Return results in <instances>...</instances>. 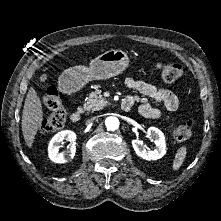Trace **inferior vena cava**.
<instances>
[{"instance_id": "inferior-vena-cava-1", "label": "inferior vena cava", "mask_w": 221, "mask_h": 221, "mask_svg": "<svg viewBox=\"0 0 221 221\" xmlns=\"http://www.w3.org/2000/svg\"><path fill=\"white\" fill-rule=\"evenodd\" d=\"M92 121V119H89L87 122L90 123Z\"/></svg>"}]
</instances>
